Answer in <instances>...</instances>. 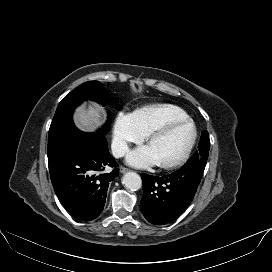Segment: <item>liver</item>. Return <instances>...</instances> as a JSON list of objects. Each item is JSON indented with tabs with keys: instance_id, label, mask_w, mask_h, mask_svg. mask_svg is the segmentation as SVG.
I'll return each instance as SVG.
<instances>
[{
	"instance_id": "6515ba94",
	"label": "liver",
	"mask_w": 272,
	"mask_h": 272,
	"mask_svg": "<svg viewBox=\"0 0 272 272\" xmlns=\"http://www.w3.org/2000/svg\"><path fill=\"white\" fill-rule=\"evenodd\" d=\"M74 122L82 131L92 132L102 122L101 110L95 105L81 106L76 110Z\"/></svg>"
}]
</instances>
